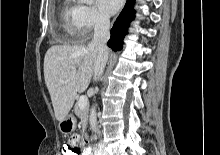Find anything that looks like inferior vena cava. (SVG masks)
Masks as SVG:
<instances>
[{"instance_id": "1", "label": "inferior vena cava", "mask_w": 220, "mask_h": 155, "mask_svg": "<svg viewBox=\"0 0 220 155\" xmlns=\"http://www.w3.org/2000/svg\"><path fill=\"white\" fill-rule=\"evenodd\" d=\"M110 20L107 14H100L98 21L94 27V38L91 47L94 50V80L97 81L103 74L107 60L108 48L107 41L110 38L109 33ZM97 132H100L97 128Z\"/></svg>"}]
</instances>
